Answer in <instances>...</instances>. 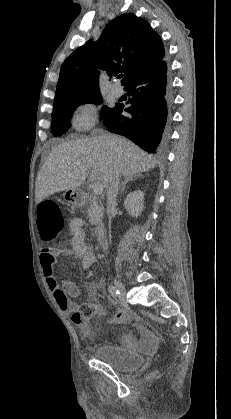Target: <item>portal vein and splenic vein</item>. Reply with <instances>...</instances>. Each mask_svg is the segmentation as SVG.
I'll return each mask as SVG.
<instances>
[{
    "instance_id": "obj_1",
    "label": "portal vein and splenic vein",
    "mask_w": 231,
    "mask_h": 419,
    "mask_svg": "<svg viewBox=\"0 0 231 419\" xmlns=\"http://www.w3.org/2000/svg\"><path fill=\"white\" fill-rule=\"evenodd\" d=\"M92 190L95 195H100L103 192V185L100 182H95L92 185Z\"/></svg>"
}]
</instances>
